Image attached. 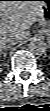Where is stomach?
<instances>
[{"mask_svg":"<svg viewBox=\"0 0 50 111\" xmlns=\"http://www.w3.org/2000/svg\"><path fill=\"white\" fill-rule=\"evenodd\" d=\"M45 2H43V22L46 25L48 31L50 28V2H48L47 0H44Z\"/></svg>","mask_w":50,"mask_h":111,"instance_id":"stomach-1","label":"stomach"}]
</instances>
